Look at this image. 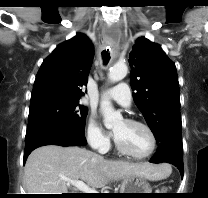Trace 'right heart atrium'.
<instances>
[{
	"mask_svg": "<svg viewBox=\"0 0 208 198\" xmlns=\"http://www.w3.org/2000/svg\"><path fill=\"white\" fill-rule=\"evenodd\" d=\"M86 138L91 147L99 152H106L110 146L109 138L93 118H90L87 124Z\"/></svg>",
	"mask_w": 208,
	"mask_h": 198,
	"instance_id": "1",
	"label": "right heart atrium"
}]
</instances>
